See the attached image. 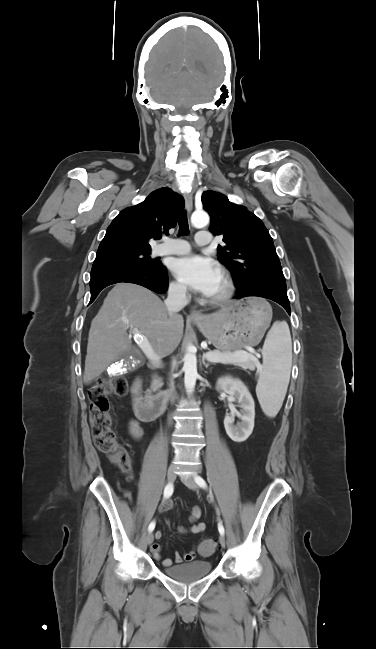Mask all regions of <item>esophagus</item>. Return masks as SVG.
I'll list each match as a JSON object with an SVG mask.
<instances>
[{"label":"esophagus","mask_w":376,"mask_h":649,"mask_svg":"<svg viewBox=\"0 0 376 649\" xmlns=\"http://www.w3.org/2000/svg\"><path fill=\"white\" fill-rule=\"evenodd\" d=\"M184 198H185L186 210H187L188 213H190L192 211V209H193V196H192V193L191 192L184 193ZM190 316L193 319H200L201 318V314L198 311L194 310V309L191 310Z\"/></svg>","instance_id":"esophagus-1"}]
</instances>
